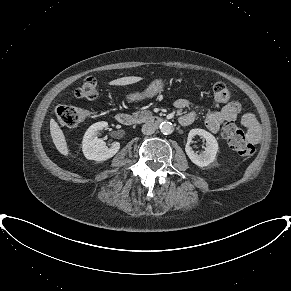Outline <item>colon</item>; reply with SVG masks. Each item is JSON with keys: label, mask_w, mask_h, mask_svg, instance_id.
<instances>
[{"label": "colon", "mask_w": 291, "mask_h": 291, "mask_svg": "<svg viewBox=\"0 0 291 291\" xmlns=\"http://www.w3.org/2000/svg\"><path fill=\"white\" fill-rule=\"evenodd\" d=\"M77 98L95 101L99 97L97 81L93 77L86 78L78 85L74 92ZM231 98L230 89L223 83H216L213 87V101L215 105L226 104ZM90 115V111L84 108L60 105L56 108V117L59 123L65 127H74L85 121ZM222 136L230 147L240 156L249 157L254 154L255 147L250 142L244 132L234 121H226L222 126Z\"/></svg>", "instance_id": "1"}]
</instances>
